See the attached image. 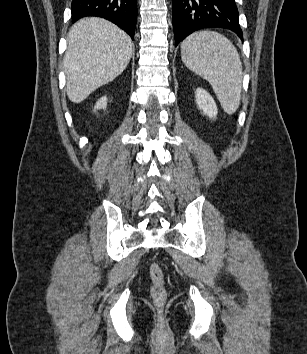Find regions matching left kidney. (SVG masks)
<instances>
[{
  "mask_svg": "<svg viewBox=\"0 0 307 354\" xmlns=\"http://www.w3.org/2000/svg\"><path fill=\"white\" fill-rule=\"evenodd\" d=\"M197 107L209 118H216L218 109L213 97L204 89L197 88L195 91Z\"/></svg>",
  "mask_w": 307,
  "mask_h": 354,
  "instance_id": "left-kidney-1",
  "label": "left kidney"
}]
</instances>
